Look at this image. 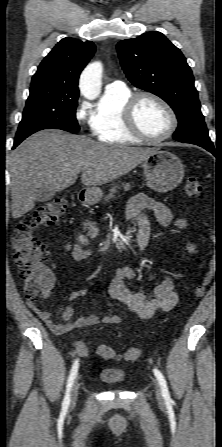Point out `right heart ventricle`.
Instances as JSON below:
<instances>
[{
	"label": "right heart ventricle",
	"instance_id": "1",
	"mask_svg": "<svg viewBox=\"0 0 222 447\" xmlns=\"http://www.w3.org/2000/svg\"><path fill=\"white\" fill-rule=\"evenodd\" d=\"M130 96L128 88L121 91L106 90L97 107L90 112L89 129L98 141L112 145H130L142 141L123 124L122 110Z\"/></svg>",
	"mask_w": 222,
	"mask_h": 447
}]
</instances>
